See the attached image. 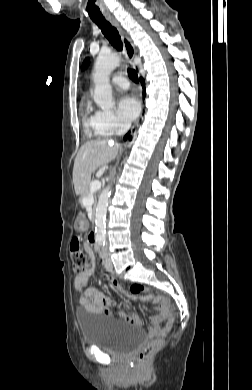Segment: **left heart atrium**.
Returning <instances> with one entry per match:
<instances>
[{"mask_svg": "<svg viewBox=\"0 0 252 390\" xmlns=\"http://www.w3.org/2000/svg\"><path fill=\"white\" fill-rule=\"evenodd\" d=\"M119 115L126 121L137 118L140 112V103L132 95H125L118 101Z\"/></svg>", "mask_w": 252, "mask_h": 390, "instance_id": "1", "label": "left heart atrium"}]
</instances>
